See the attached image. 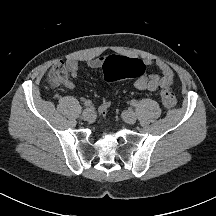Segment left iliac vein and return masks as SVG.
<instances>
[{"label": "left iliac vein", "instance_id": "obj_1", "mask_svg": "<svg viewBox=\"0 0 216 216\" xmlns=\"http://www.w3.org/2000/svg\"><path fill=\"white\" fill-rule=\"evenodd\" d=\"M122 117L124 121L128 124H134L136 123V114L131 110H126L122 113Z\"/></svg>", "mask_w": 216, "mask_h": 216}]
</instances>
